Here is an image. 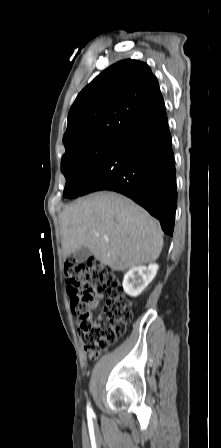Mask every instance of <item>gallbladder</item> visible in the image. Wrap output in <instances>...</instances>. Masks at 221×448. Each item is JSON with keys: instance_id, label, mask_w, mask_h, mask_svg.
Instances as JSON below:
<instances>
[{"instance_id": "bac80fb5", "label": "gallbladder", "mask_w": 221, "mask_h": 448, "mask_svg": "<svg viewBox=\"0 0 221 448\" xmlns=\"http://www.w3.org/2000/svg\"><path fill=\"white\" fill-rule=\"evenodd\" d=\"M90 255L91 251L89 250V248L83 246L74 252L73 258L77 263H81L87 260Z\"/></svg>"}]
</instances>
